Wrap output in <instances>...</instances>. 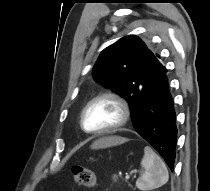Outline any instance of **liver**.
Returning a JSON list of instances; mask_svg holds the SVG:
<instances>
[{
  "label": "liver",
  "instance_id": "obj_1",
  "mask_svg": "<svg viewBox=\"0 0 210 191\" xmlns=\"http://www.w3.org/2000/svg\"><path fill=\"white\" fill-rule=\"evenodd\" d=\"M127 141H128L127 138H123L119 136H107V137L100 138L99 140H96L92 144L91 149L108 148V147L123 144Z\"/></svg>",
  "mask_w": 210,
  "mask_h": 191
}]
</instances>
